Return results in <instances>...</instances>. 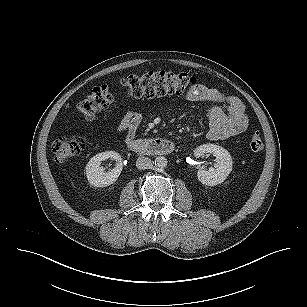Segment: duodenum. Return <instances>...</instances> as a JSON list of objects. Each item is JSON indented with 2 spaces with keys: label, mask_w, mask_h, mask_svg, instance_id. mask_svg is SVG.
Instances as JSON below:
<instances>
[{
  "label": "duodenum",
  "mask_w": 307,
  "mask_h": 307,
  "mask_svg": "<svg viewBox=\"0 0 307 307\" xmlns=\"http://www.w3.org/2000/svg\"><path fill=\"white\" fill-rule=\"evenodd\" d=\"M128 148L138 154L166 156L174 151V143L167 138L132 139L127 141Z\"/></svg>",
  "instance_id": "410a0bca"
}]
</instances>
